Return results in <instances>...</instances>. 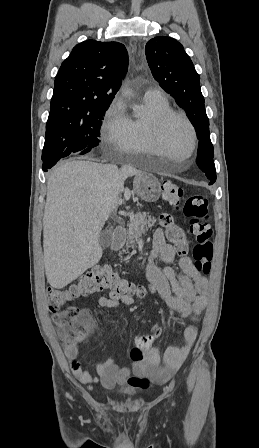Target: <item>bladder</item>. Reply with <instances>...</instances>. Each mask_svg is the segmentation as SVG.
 I'll use <instances>...</instances> for the list:
<instances>
[{
	"instance_id": "31cf9c89",
	"label": "bladder",
	"mask_w": 259,
	"mask_h": 448,
	"mask_svg": "<svg viewBox=\"0 0 259 448\" xmlns=\"http://www.w3.org/2000/svg\"><path fill=\"white\" fill-rule=\"evenodd\" d=\"M120 393H121L122 395H125V396H131V395H133V392H132V391H129V390H122V391H120Z\"/></svg>"
}]
</instances>
